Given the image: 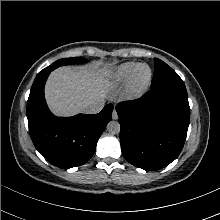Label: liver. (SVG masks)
I'll list each match as a JSON object with an SVG mask.
<instances>
[{
	"label": "liver",
	"mask_w": 220,
	"mask_h": 220,
	"mask_svg": "<svg viewBox=\"0 0 220 220\" xmlns=\"http://www.w3.org/2000/svg\"><path fill=\"white\" fill-rule=\"evenodd\" d=\"M108 65L103 69H99L98 64L55 69L45 86L50 110L57 116H73L84 112L88 103L103 100L109 87Z\"/></svg>",
	"instance_id": "liver-1"
}]
</instances>
